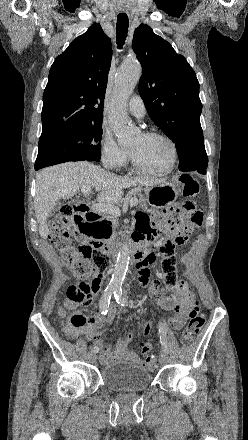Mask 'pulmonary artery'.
Listing matches in <instances>:
<instances>
[{"label":"pulmonary artery","instance_id":"pulmonary-artery-1","mask_svg":"<svg viewBox=\"0 0 248 440\" xmlns=\"http://www.w3.org/2000/svg\"><path fill=\"white\" fill-rule=\"evenodd\" d=\"M128 110L133 116L137 118H142L146 114V108L144 102L139 96H133L129 100Z\"/></svg>","mask_w":248,"mask_h":440}]
</instances>
